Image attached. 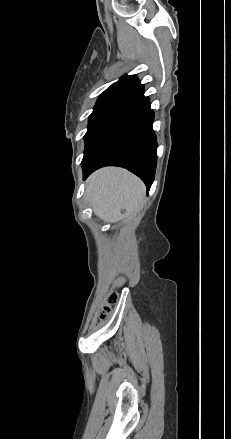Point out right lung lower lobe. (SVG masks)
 <instances>
[{"instance_id":"right-lung-lower-lobe-1","label":"right lung lower lobe","mask_w":231,"mask_h":439,"mask_svg":"<svg viewBox=\"0 0 231 439\" xmlns=\"http://www.w3.org/2000/svg\"><path fill=\"white\" fill-rule=\"evenodd\" d=\"M141 115L106 135L82 160L84 179L104 166H120L139 176L149 191L157 162V142L150 102L141 93L135 97Z\"/></svg>"}]
</instances>
